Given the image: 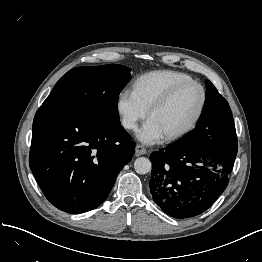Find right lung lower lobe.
Instances as JSON below:
<instances>
[{
	"label": "right lung lower lobe",
	"mask_w": 262,
	"mask_h": 262,
	"mask_svg": "<svg viewBox=\"0 0 262 262\" xmlns=\"http://www.w3.org/2000/svg\"><path fill=\"white\" fill-rule=\"evenodd\" d=\"M134 149L120 122L107 124L77 110L41 106L33 121L29 164L51 204L83 213L107 198Z\"/></svg>",
	"instance_id": "98d812e1"
}]
</instances>
